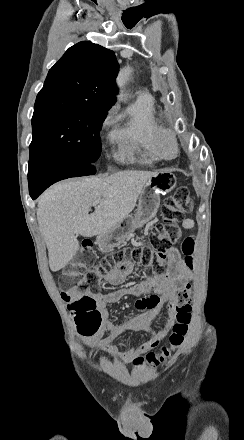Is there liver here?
Instances as JSON below:
<instances>
[{
    "mask_svg": "<svg viewBox=\"0 0 244 440\" xmlns=\"http://www.w3.org/2000/svg\"><path fill=\"white\" fill-rule=\"evenodd\" d=\"M155 174L128 170L108 178H70L46 190L38 200L36 216L51 272H59L75 256L77 236H99L128 218L147 180ZM98 200L99 206L89 214Z\"/></svg>",
    "mask_w": 244,
    "mask_h": 440,
    "instance_id": "1",
    "label": "liver"
}]
</instances>
